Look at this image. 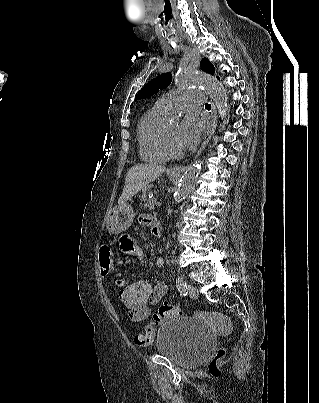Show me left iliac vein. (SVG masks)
Masks as SVG:
<instances>
[{
  "instance_id": "4c4485c4",
  "label": "left iliac vein",
  "mask_w": 319,
  "mask_h": 403,
  "mask_svg": "<svg viewBox=\"0 0 319 403\" xmlns=\"http://www.w3.org/2000/svg\"><path fill=\"white\" fill-rule=\"evenodd\" d=\"M188 294L193 299H197L199 297L197 288L191 284L188 286Z\"/></svg>"
}]
</instances>
